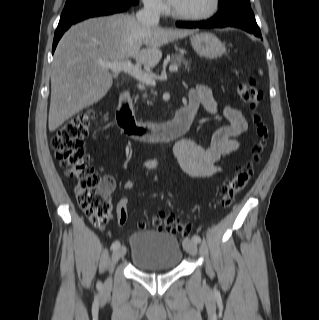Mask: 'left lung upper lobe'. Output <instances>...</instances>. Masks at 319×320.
Masks as SVG:
<instances>
[{
	"mask_svg": "<svg viewBox=\"0 0 319 320\" xmlns=\"http://www.w3.org/2000/svg\"><path fill=\"white\" fill-rule=\"evenodd\" d=\"M238 6L251 7L249 0H219V10Z\"/></svg>",
	"mask_w": 319,
	"mask_h": 320,
	"instance_id": "5c2ea615",
	"label": "left lung upper lobe"
}]
</instances>
